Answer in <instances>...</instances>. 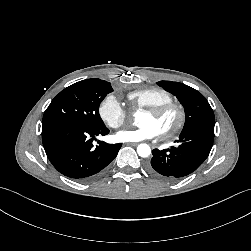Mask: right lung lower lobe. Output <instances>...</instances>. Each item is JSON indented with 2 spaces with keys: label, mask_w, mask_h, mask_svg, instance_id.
Wrapping results in <instances>:
<instances>
[{
  "label": "right lung lower lobe",
  "mask_w": 251,
  "mask_h": 251,
  "mask_svg": "<svg viewBox=\"0 0 251 251\" xmlns=\"http://www.w3.org/2000/svg\"><path fill=\"white\" fill-rule=\"evenodd\" d=\"M109 130L71 124L55 123L42 128V142L53 166L63 175L84 181L100 173L117 156L121 144L101 142L93 146L98 135Z\"/></svg>",
  "instance_id": "right-lung-lower-lobe-1"
}]
</instances>
